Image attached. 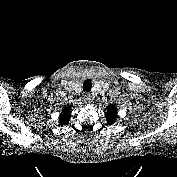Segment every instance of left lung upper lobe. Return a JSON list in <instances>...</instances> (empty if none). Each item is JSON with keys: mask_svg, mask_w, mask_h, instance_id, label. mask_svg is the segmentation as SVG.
<instances>
[{"mask_svg": "<svg viewBox=\"0 0 177 177\" xmlns=\"http://www.w3.org/2000/svg\"><path fill=\"white\" fill-rule=\"evenodd\" d=\"M117 117V109L114 105H110L107 108V112H106V118H107V122L109 124H112L115 122V119Z\"/></svg>", "mask_w": 177, "mask_h": 177, "instance_id": "1", "label": "left lung upper lobe"}]
</instances>
